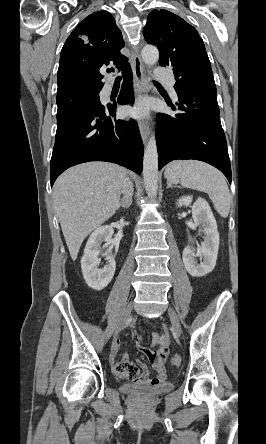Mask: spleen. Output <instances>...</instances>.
<instances>
[{"label": "spleen", "mask_w": 266, "mask_h": 444, "mask_svg": "<svg viewBox=\"0 0 266 444\" xmlns=\"http://www.w3.org/2000/svg\"><path fill=\"white\" fill-rule=\"evenodd\" d=\"M165 177L172 183L208 193L218 214H229L231 196L223 174L214 167L197 160H175L165 169Z\"/></svg>", "instance_id": "1"}]
</instances>
